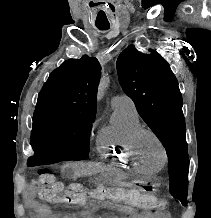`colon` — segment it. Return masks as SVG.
<instances>
[{
  "label": "colon",
  "mask_w": 211,
  "mask_h": 218,
  "mask_svg": "<svg viewBox=\"0 0 211 218\" xmlns=\"http://www.w3.org/2000/svg\"><path fill=\"white\" fill-rule=\"evenodd\" d=\"M35 184L42 199L56 204H82L88 200H95L110 201L139 209L163 210L166 206L164 200L146 188L104 185L89 188L78 183L64 185L46 168L38 171Z\"/></svg>",
  "instance_id": "colon-1"
}]
</instances>
